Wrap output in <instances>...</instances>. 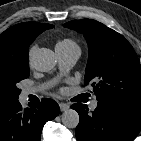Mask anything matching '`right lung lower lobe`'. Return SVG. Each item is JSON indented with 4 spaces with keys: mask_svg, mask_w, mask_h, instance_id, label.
<instances>
[{
    "mask_svg": "<svg viewBox=\"0 0 141 141\" xmlns=\"http://www.w3.org/2000/svg\"><path fill=\"white\" fill-rule=\"evenodd\" d=\"M58 104L48 98L23 109L19 101L0 107V141H40L44 124L59 114Z\"/></svg>",
    "mask_w": 141,
    "mask_h": 141,
    "instance_id": "right-lung-lower-lobe-1",
    "label": "right lung lower lobe"
}]
</instances>
